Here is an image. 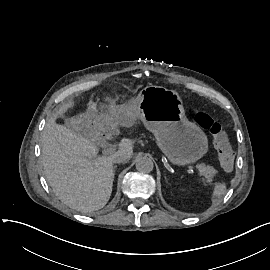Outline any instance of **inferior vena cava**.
Segmentation results:
<instances>
[{"instance_id": "obj_1", "label": "inferior vena cava", "mask_w": 270, "mask_h": 270, "mask_svg": "<svg viewBox=\"0 0 270 270\" xmlns=\"http://www.w3.org/2000/svg\"><path fill=\"white\" fill-rule=\"evenodd\" d=\"M111 157L113 163H126L130 160L126 154L119 153L118 151L111 155Z\"/></svg>"}]
</instances>
